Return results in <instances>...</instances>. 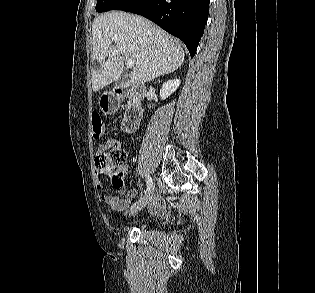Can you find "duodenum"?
<instances>
[{
    "instance_id": "obj_1",
    "label": "duodenum",
    "mask_w": 315,
    "mask_h": 293,
    "mask_svg": "<svg viewBox=\"0 0 315 293\" xmlns=\"http://www.w3.org/2000/svg\"><path fill=\"white\" fill-rule=\"evenodd\" d=\"M113 92H119L122 99L128 98L129 103L122 127L126 132H133L138 127L143 116L141 100L145 96V89L137 85L126 83L119 85Z\"/></svg>"
}]
</instances>
